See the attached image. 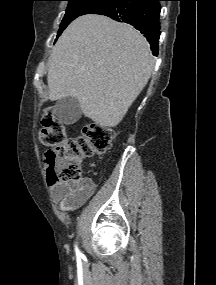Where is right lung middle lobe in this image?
<instances>
[{
    "label": "right lung middle lobe",
    "mask_w": 216,
    "mask_h": 285,
    "mask_svg": "<svg viewBox=\"0 0 216 285\" xmlns=\"http://www.w3.org/2000/svg\"><path fill=\"white\" fill-rule=\"evenodd\" d=\"M69 1L66 13L61 22L57 38L63 30L77 17L85 14H93L98 10L112 4L115 0H66ZM56 38V39H57Z\"/></svg>",
    "instance_id": "obj_1"
}]
</instances>
